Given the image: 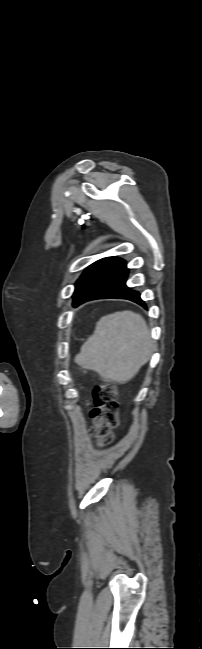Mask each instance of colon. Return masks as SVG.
<instances>
[{
    "label": "colon",
    "mask_w": 202,
    "mask_h": 649,
    "mask_svg": "<svg viewBox=\"0 0 202 649\" xmlns=\"http://www.w3.org/2000/svg\"><path fill=\"white\" fill-rule=\"evenodd\" d=\"M117 388L112 383H103L93 392L95 408L92 410V434L101 446L108 445L114 440L112 429L118 423L117 416Z\"/></svg>",
    "instance_id": "5ec220e1"
}]
</instances>
